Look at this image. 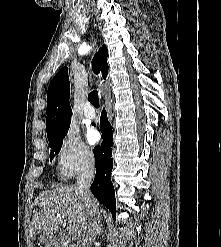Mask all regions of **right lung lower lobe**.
I'll use <instances>...</instances> for the list:
<instances>
[{"label":"right lung lower lobe","mask_w":221,"mask_h":247,"mask_svg":"<svg viewBox=\"0 0 221 247\" xmlns=\"http://www.w3.org/2000/svg\"><path fill=\"white\" fill-rule=\"evenodd\" d=\"M100 131L102 133L103 142L101 146H96L93 150L96 175L90 189L93 195L110 210L115 219V191L110 177L113 167V131L105 109L102 111L100 118Z\"/></svg>","instance_id":"right-lung-lower-lobe-1"}]
</instances>
